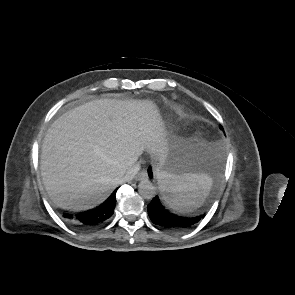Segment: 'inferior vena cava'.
<instances>
[{
  "label": "inferior vena cava",
  "mask_w": 295,
  "mask_h": 295,
  "mask_svg": "<svg viewBox=\"0 0 295 295\" xmlns=\"http://www.w3.org/2000/svg\"><path fill=\"white\" fill-rule=\"evenodd\" d=\"M140 170V165L135 164L133 166H131L126 174L124 175V177L122 178L123 181H130L134 178V176L138 173V171Z\"/></svg>",
  "instance_id": "1"
}]
</instances>
